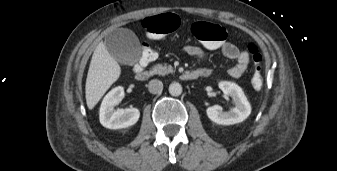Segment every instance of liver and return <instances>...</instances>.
I'll use <instances>...</instances> for the list:
<instances>
[{"mask_svg": "<svg viewBox=\"0 0 337 171\" xmlns=\"http://www.w3.org/2000/svg\"><path fill=\"white\" fill-rule=\"evenodd\" d=\"M120 74V65L110 55L105 43L100 42L92 55L85 85L89 109L95 107L110 86L118 80Z\"/></svg>", "mask_w": 337, "mask_h": 171, "instance_id": "1", "label": "liver"}]
</instances>
